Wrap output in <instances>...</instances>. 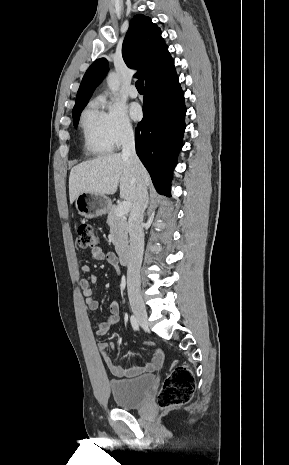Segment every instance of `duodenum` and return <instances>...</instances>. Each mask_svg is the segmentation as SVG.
<instances>
[{"instance_id": "1", "label": "duodenum", "mask_w": 289, "mask_h": 465, "mask_svg": "<svg viewBox=\"0 0 289 465\" xmlns=\"http://www.w3.org/2000/svg\"><path fill=\"white\" fill-rule=\"evenodd\" d=\"M120 261L124 266H128L132 262V252L129 247H124L120 251Z\"/></svg>"}]
</instances>
